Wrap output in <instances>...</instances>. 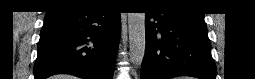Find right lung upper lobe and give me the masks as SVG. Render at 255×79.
I'll list each match as a JSON object with an SVG mask.
<instances>
[{"label":"right lung upper lobe","mask_w":255,"mask_h":79,"mask_svg":"<svg viewBox=\"0 0 255 79\" xmlns=\"http://www.w3.org/2000/svg\"><path fill=\"white\" fill-rule=\"evenodd\" d=\"M54 3L55 4L51 7L49 12L63 9V8H70V7H91V6H94V5L90 4V1H77V0H59Z\"/></svg>","instance_id":"obj_1"}]
</instances>
